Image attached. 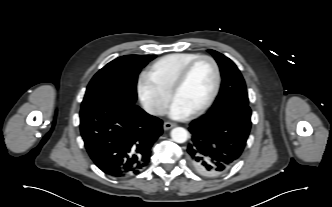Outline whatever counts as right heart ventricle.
Returning <instances> with one entry per match:
<instances>
[{
    "label": "right heart ventricle",
    "instance_id": "1",
    "mask_svg": "<svg viewBox=\"0 0 332 207\" xmlns=\"http://www.w3.org/2000/svg\"><path fill=\"white\" fill-rule=\"evenodd\" d=\"M198 53H172L155 61L148 69L146 75L160 88L170 93L172 84L181 69Z\"/></svg>",
    "mask_w": 332,
    "mask_h": 207
}]
</instances>
